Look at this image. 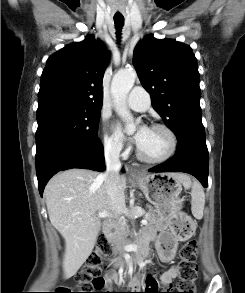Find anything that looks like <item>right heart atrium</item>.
<instances>
[{
    "mask_svg": "<svg viewBox=\"0 0 245 293\" xmlns=\"http://www.w3.org/2000/svg\"><path fill=\"white\" fill-rule=\"evenodd\" d=\"M103 146L105 153L110 157L121 156L126 151V148L119 139L108 134L104 135Z\"/></svg>",
    "mask_w": 245,
    "mask_h": 293,
    "instance_id": "obj_1",
    "label": "right heart atrium"
}]
</instances>
